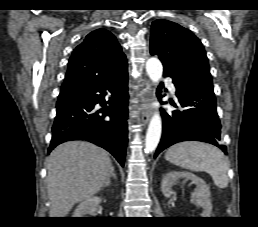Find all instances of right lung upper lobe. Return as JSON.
Wrapping results in <instances>:
<instances>
[{
  "label": "right lung upper lobe",
  "mask_w": 258,
  "mask_h": 227,
  "mask_svg": "<svg viewBox=\"0 0 258 227\" xmlns=\"http://www.w3.org/2000/svg\"><path fill=\"white\" fill-rule=\"evenodd\" d=\"M126 67V56L115 36L105 29H97L89 33L73 51L64 82L104 77Z\"/></svg>",
  "instance_id": "obj_1"
}]
</instances>
